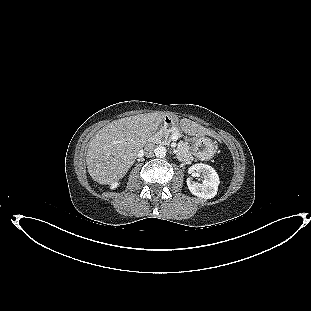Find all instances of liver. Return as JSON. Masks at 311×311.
Segmentation results:
<instances>
[{
  "label": "liver",
  "mask_w": 311,
  "mask_h": 311,
  "mask_svg": "<svg viewBox=\"0 0 311 311\" xmlns=\"http://www.w3.org/2000/svg\"><path fill=\"white\" fill-rule=\"evenodd\" d=\"M164 113H147L115 120L103 127L90 140L87 169L99 184H113L122 179L134 164L139 150L158 129ZM181 127L190 134L204 135L206 129L182 119Z\"/></svg>",
  "instance_id": "1"
}]
</instances>
